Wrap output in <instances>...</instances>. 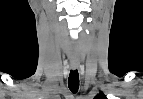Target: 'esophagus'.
Instances as JSON below:
<instances>
[{
	"mask_svg": "<svg viewBox=\"0 0 143 99\" xmlns=\"http://www.w3.org/2000/svg\"><path fill=\"white\" fill-rule=\"evenodd\" d=\"M78 66H79V64H78L77 62H75V61H72V62H71V68H72L73 70H76V69L78 68Z\"/></svg>",
	"mask_w": 143,
	"mask_h": 99,
	"instance_id": "1",
	"label": "esophagus"
}]
</instances>
